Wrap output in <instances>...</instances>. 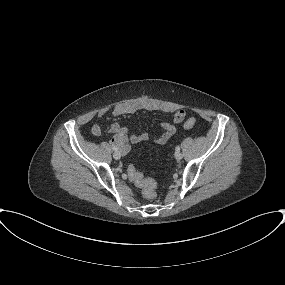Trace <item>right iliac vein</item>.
I'll return each mask as SVG.
<instances>
[{"label": "right iliac vein", "mask_w": 285, "mask_h": 285, "mask_svg": "<svg viewBox=\"0 0 285 285\" xmlns=\"http://www.w3.org/2000/svg\"><path fill=\"white\" fill-rule=\"evenodd\" d=\"M121 155H125V154L122 153V152H120V151H115V152L113 153V158L116 159V160H118V159H120Z\"/></svg>", "instance_id": "right-iliac-vein-1"}]
</instances>
